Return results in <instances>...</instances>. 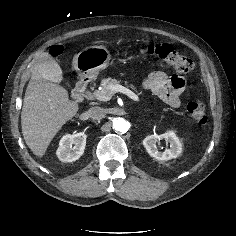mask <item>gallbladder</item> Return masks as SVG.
I'll list each match as a JSON object with an SVG mask.
<instances>
[{
	"instance_id": "gallbladder-1",
	"label": "gallbladder",
	"mask_w": 236,
	"mask_h": 236,
	"mask_svg": "<svg viewBox=\"0 0 236 236\" xmlns=\"http://www.w3.org/2000/svg\"><path fill=\"white\" fill-rule=\"evenodd\" d=\"M38 62L45 66L48 76L53 81L59 82L62 79V70L51 55L43 53L38 57Z\"/></svg>"
}]
</instances>
